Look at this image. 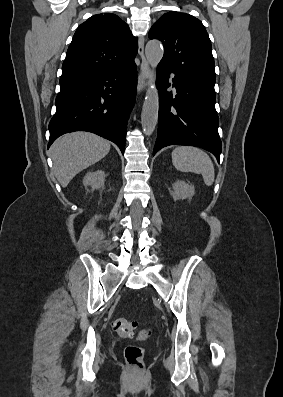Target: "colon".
<instances>
[{
	"label": "colon",
	"instance_id": "1",
	"mask_svg": "<svg viewBox=\"0 0 283 397\" xmlns=\"http://www.w3.org/2000/svg\"><path fill=\"white\" fill-rule=\"evenodd\" d=\"M114 329L122 336L132 338L135 336L137 323L123 317H118L113 322ZM151 334L150 330H142L139 334L140 338H147ZM125 359L128 366L134 371L143 369L144 349L140 346L129 345L124 351Z\"/></svg>",
	"mask_w": 283,
	"mask_h": 397
}]
</instances>
